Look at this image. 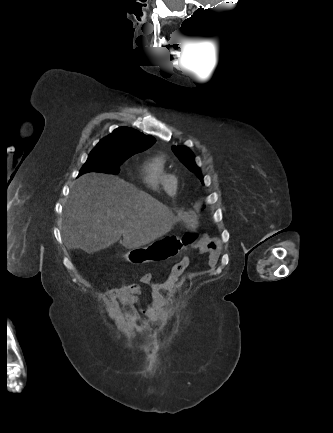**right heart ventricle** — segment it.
<instances>
[{
	"label": "right heart ventricle",
	"mask_w": 333,
	"mask_h": 433,
	"mask_svg": "<svg viewBox=\"0 0 333 433\" xmlns=\"http://www.w3.org/2000/svg\"><path fill=\"white\" fill-rule=\"evenodd\" d=\"M139 172L142 182L151 191L157 193H166L175 195L178 189V184L174 189L173 194H169L165 188V178L170 174L166 159L163 155L155 154L142 160L139 164Z\"/></svg>",
	"instance_id": "obj_1"
}]
</instances>
